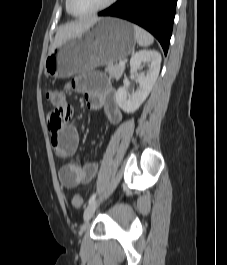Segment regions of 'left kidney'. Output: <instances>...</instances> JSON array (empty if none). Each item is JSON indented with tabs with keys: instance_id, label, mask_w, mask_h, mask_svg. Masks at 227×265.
<instances>
[{
	"instance_id": "left-kidney-1",
	"label": "left kidney",
	"mask_w": 227,
	"mask_h": 265,
	"mask_svg": "<svg viewBox=\"0 0 227 265\" xmlns=\"http://www.w3.org/2000/svg\"><path fill=\"white\" fill-rule=\"evenodd\" d=\"M161 55L155 50H142L135 53L130 59L131 74L137 72L143 63H148L146 75L137 77L139 88L131 95L125 87H120L116 92V102L126 113L135 112L146 100L159 75L161 65Z\"/></svg>"
}]
</instances>
